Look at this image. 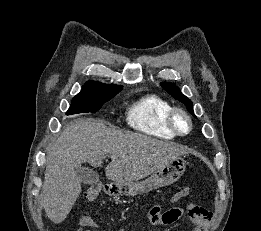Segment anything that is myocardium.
Segmentation results:
<instances>
[{"instance_id":"myocardium-1","label":"myocardium","mask_w":261,"mask_h":231,"mask_svg":"<svg viewBox=\"0 0 261 231\" xmlns=\"http://www.w3.org/2000/svg\"><path fill=\"white\" fill-rule=\"evenodd\" d=\"M179 117H183L186 119L187 123H188V129L186 131H182L179 126H178V118ZM168 126L171 129V131L178 135V136H186L188 135L193 128V122H192V118L189 115V113L180 107H173L168 115Z\"/></svg>"}]
</instances>
